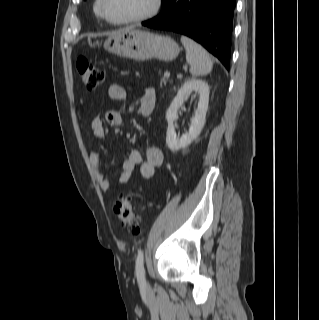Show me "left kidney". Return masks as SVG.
Listing matches in <instances>:
<instances>
[{
  "label": "left kidney",
  "mask_w": 319,
  "mask_h": 320,
  "mask_svg": "<svg viewBox=\"0 0 319 320\" xmlns=\"http://www.w3.org/2000/svg\"><path fill=\"white\" fill-rule=\"evenodd\" d=\"M194 91L199 95L198 107L195 115L191 120L189 131L182 136L176 134L174 122L177 120V111L183 105L185 97L188 93ZM210 88L208 83L200 79H189L184 82L178 90L177 95L173 99L170 107L166 112L168 122L166 143L168 148L175 152L188 146L201 133L205 125V117L208 109Z\"/></svg>",
  "instance_id": "5707ae66"
}]
</instances>
